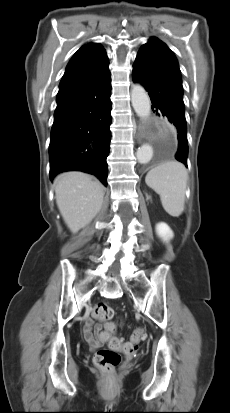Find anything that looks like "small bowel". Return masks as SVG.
Returning <instances> with one entry per match:
<instances>
[{"label": "small bowel", "mask_w": 230, "mask_h": 413, "mask_svg": "<svg viewBox=\"0 0 230 413\" xmlns=\"http://www.w3.org/2000/svg\"><path fill=\"white\" fill-rule=\"evenodd\" d=\"M116 324L113 322L104 325L94 324L91 318L86 320L84 326V336L92 346H98L109 342L111 333H114Z\"/></svg>", "instance_id": "small-bowel-1"}]
</instances>
